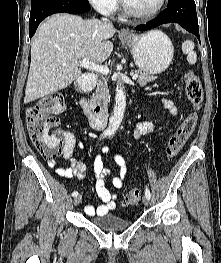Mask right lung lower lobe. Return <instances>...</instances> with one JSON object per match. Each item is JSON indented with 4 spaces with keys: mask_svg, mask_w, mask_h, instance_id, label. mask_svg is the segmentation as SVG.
<instances>
[{
    "mask_svg": "<svg viewBox=\"0 0 221 263\" xmlns=\"http://www.w3.org/2000/svg\"><path fill=\"white\" fill-rule=\"evenodd\" d=\"M90 10L88 0H49L31 7L29 27L30 38L36 32L39 23L47 16L68 12L71 14L84 13Z\"/></svg>",
    "mask_w": 221,
    "mask_h": 263,
    "instance_id": "98d812e1",
    "label": "right lung lower lobe"
}]
</instances>
